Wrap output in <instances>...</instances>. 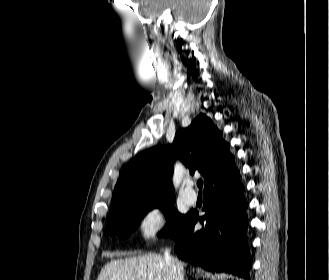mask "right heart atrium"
<instances>
[{"instance_id": "1", "label": "right heart atrium", "mask_w": 329, "mask_h": 280, "mask_svg": "<svg viewBox=\"0 0 329 280\" xmlns=\"http://www.w3.org/2000/svg\"><path fill=\"white\" fill-rule=\"evenodd\" d=\"M166 224V209L163 205L148 206L138 221V233L142 240L150 241L159 236Z\"/></svg>"}]
</instances>
